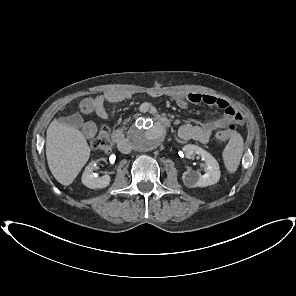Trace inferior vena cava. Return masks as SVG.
Returning a JSON list of instances; mask_svg holds the SVG:
<instances>
[{
	"instance_id": "obj_1",
	"label": "inferior vena cava",
	"mask_w": 296,
	"mask_h": 296,
	"mask_svg": "<svg viewBox=\"0 0 296 296\" xmlns=\"http://www.w3.org/2000/svg\"><path fill=\"white\" fill-rule=\"evenodd\" d=\"M131 147H130V144L127 142L125 144H120L119 145V150L122 152V153H128L130 151Z\"/></svg>"
}]
</instances>
